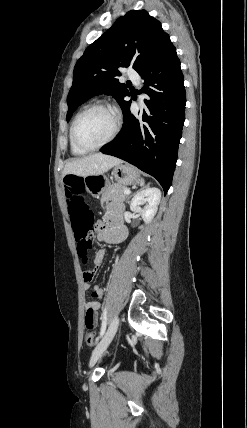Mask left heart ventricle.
<instances>
[{
  "label": "left heart ventricle",
  "instance_id": "obj_1",
  "mask_svg": "<svg viewBox=\"0 0 247 428\" xmlns=\"http://www.w3.org/2000/svg\"><path fill=\"white\" fill-rule=\"evenodd\" d=\"M114 126L110 112L94 109L85 113L78 121L76 135L80 142L86 145H97L106 140Z\"/></svg>",
  "mask_w": 247,
  "mask_h": 428
}]
</instances>
